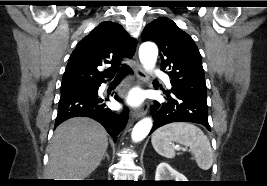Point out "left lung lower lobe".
I'll list each match as a JSON object with an SVG mask.
<instances>
[{"label":"left lung lower lobe","mask_w":267,"mask_h":186,"mask_svg":"<svg viewBox=\"0 0 267 186\" xmlns=\"http://www.w3.org/2000/svg\"><path fill=\"white\" fill-rule=\"evenodd\" d=\"M166 102H154V125L150 134L157 128L172 122H193L205 126L209 131L208 107L206 98L172 88L164 91Z\"/></svg>","instance_id":"obj_1"}]
</instances>
